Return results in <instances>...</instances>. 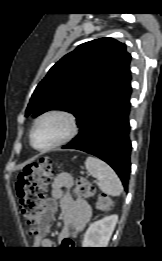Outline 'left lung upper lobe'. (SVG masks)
Segmentation results:
<instances>
[{"label": "left lung upper lobe", "instance_id": "left-lung-upper-lobe-1", "mask_svg": "<svg viewBox=\"0 0 162 261\" xmlns=\"http://www.w3.org/2000/svg\"><path fill=\"white\" fill-rule=\"evenodd\" d=\"M131 55L113 38L79 45L61 58L36 87L25 116L65 110L80 128L92 113L131 80Z\"/></svg>", "mask_w": 162, "mask_h": 261}]
</instances>
